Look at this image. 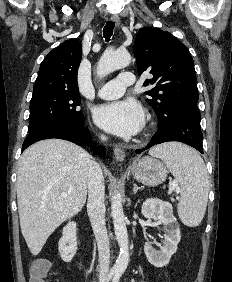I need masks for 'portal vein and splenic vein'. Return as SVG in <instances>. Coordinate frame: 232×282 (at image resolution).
<instances>
[{
    "label": "portal vein and splenic vein",
    "instance_id": "18ae733b",
    "mask_svg": "<svg viewBox=\"0 0 232 282\" xmlns=\"http://www.w3.org/2000/svg\"><path fill=\"white\" fill-rule=\"evenodd\" d=\"M172 189L175 190V191H179L178 185L176 183L172 184ZM62 196H67V194L63 193Z\"/></svg>",
    "mask_w": 232,
    "mask_h": 282
}]
</instances>
